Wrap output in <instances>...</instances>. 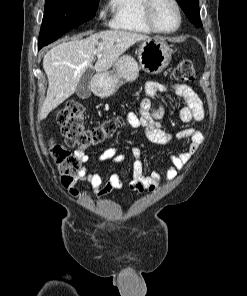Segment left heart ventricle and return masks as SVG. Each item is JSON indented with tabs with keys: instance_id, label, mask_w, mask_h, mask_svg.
Masks as SVG:
<instances>
[{
	"instance_id": "obj_1",
	"label": "left heart ventricle",
	"mask_w": 247,
	"mask_h": 296,
	"mask_svg": "<svg viewBox=\"0 0 247 296\" xmlns=\"http://www.w3.org/2000/svg\"><path fill=\"white\" fill-rule=\"evenodd\" d=\"M153 15L156 24L163 30L173 29L177 24V14L169 0H156Z\"/></svg>"
}]
</instances>
